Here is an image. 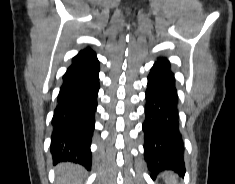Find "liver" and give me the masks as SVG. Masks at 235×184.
<instances>
[{"label":"liver","mask_w":235,"mask_h":184,"mask_svg":"<svg viewBox=\"0 0 235 184\" xmlns=\"http://www.w3.org/2000/svg\"><path fill=\"white\" fill-rule=\"evenodd\" d=\"M81 172H84L81 166H75V164H58L56 168V184H82L80 178Z\"/></svg>","instance_id":"obj_1"}]
</instances>
